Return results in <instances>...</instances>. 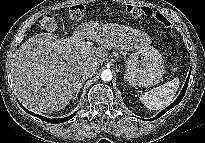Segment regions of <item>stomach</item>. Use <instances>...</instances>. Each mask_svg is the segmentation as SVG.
I'll list each match as a JSON object with an SVG mask.
<instances>
[{
    "instance_id": "obj_1",
    "label": "stomach",
    "mask_w": 205,
    "mask_h": 143,
    "mask_svg": "<svg viewBox=\"0 0 205 143\" xmlns=\"http://www.w3.org/2000/svg\"><path fill=\"white\" fill-rule=\"evenodd\" d=\"M164 74L163 58L152 46L137 49L126 62L125 78L133 87L155 85L163 78Z\"/></svg>"
}]
</instances>
